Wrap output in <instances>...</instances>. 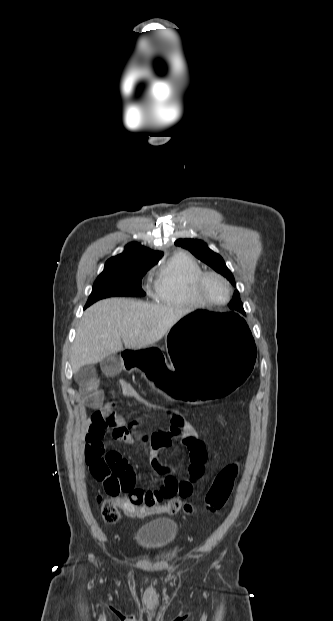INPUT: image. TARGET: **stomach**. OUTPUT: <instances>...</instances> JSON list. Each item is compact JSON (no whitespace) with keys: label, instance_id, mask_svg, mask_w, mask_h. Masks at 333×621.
<instances>
[{"label":"stomach","instance_id":"0dacf381","mask_svg":"<svg viewBox=\"0 0 333 621\" xmlns=\"http://www.w3.org/2000/svg\"><path fill=\"white\" fill-rule=\"evenodd\" d=\"M166 342L128 347L122 358L151 379L149 390L172 395L178 403L229 402L252 376L256 344L237 314L205 310L181 314Z\"/></svg>","mask_w":333,"mask_h":621}]
</instances>
